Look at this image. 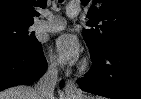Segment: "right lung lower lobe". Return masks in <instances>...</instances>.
I'll return each instance as SVG.
<instances>
[{
    "instance_id": "98d812e1",
    "label": "right lung lower lobe",
    "mask_w": 141,
    "mask_h": 99,
    "mask_svg": "<svg viewBox=\"0 0 141 99\" xmlns=\"http://www.w3.org/2000/svg\"><path fill=\"white\" fill-rule=\"evenodd\" d=\"M46 67L41 45L31 48H0V91L33 83L43 75Z\"/></svg>"
}]
</instances>
